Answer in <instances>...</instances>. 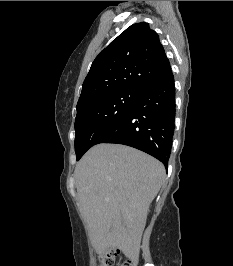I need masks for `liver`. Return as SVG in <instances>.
I'll use <instances>...</instances> for the list:
<instances>
[{
  "mask_svg": "<svg viewBox=\"0 0 233 266\" xmlns=\"http://www.w3.org/2000/svg\"><path fill=\"white\" fill-rule=\"evenodd\" d=\"M78 200L96 252L138 250L149 205L165 168L155 158L120 144L92 147L75 168Z\"/></svg>",
  "mask_w": 233,
  "mask_h": 266,
  "instance_id": "liver-1",
  "label": "liver"
}]
</instances>
